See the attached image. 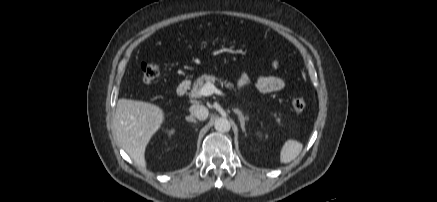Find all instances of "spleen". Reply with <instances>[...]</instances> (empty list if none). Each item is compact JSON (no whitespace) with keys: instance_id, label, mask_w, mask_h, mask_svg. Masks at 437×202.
I'll list each match as a JSON object with an SVG mask.
<instances>
[{"instance_id":"3e777b00","label":"spleen","mask_w":437,"mask_h":202,"mask_svg":"<svg viewBox=\"0 0 437 202\" xmlns=\"http://www.w3.org/2000/svg\"><path fill=\"white\" fill-rule=\"evenodd\" d=\"M302 148V143L296 140H287L280 152V162L286 164L293 161L301 153Z\"/></svg>"}]
</instances>
